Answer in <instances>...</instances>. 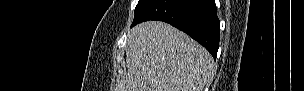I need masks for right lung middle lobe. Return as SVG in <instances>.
I'll return each instance as SVG.
<instances>
[{
    "label": "right lung middle lobe",
    "mask_w": 304,
    "mask_h": 91,
    "mask_svg": "<svg viewBox=\"0 0 304 91\" xmlns=\"http://www.w3.org/2000/svg\"><path fill=\"white\" fill-rule=\"evenodd\" d=\"M150 2V0H139L136 8H135V16L134 19L139 16L141 13L142 9Z\"/></svg>",
    "instance_id": "obj_1"
}]
</instances>
